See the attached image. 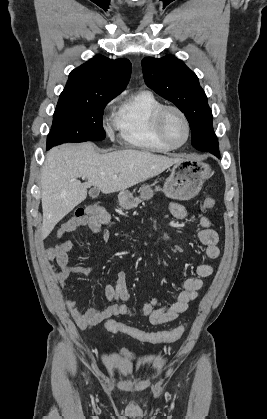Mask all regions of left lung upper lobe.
<instances>
[{
  "label": "left lung upper lobe",
  "mask_w": 267,
  "mask_h": 419,
  "mask_svg": "<svg viewBox=\"0 0 267 419\" xmlns=\"http://www.w3.org/2000/svg\"><path fill=\"white\" fill-rule=\"evenodd\" d=\"M142 70L146 85L185 113L193 147L216 155L219 149L212 127V111L195 73L173 55L144 58Z\"/></svg>",
  "instance_id": "obj_1"
}]
</instances>
